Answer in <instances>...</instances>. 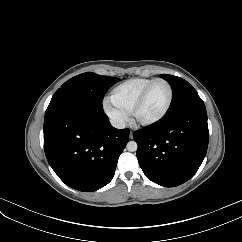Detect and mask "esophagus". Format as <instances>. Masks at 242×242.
Instances as JSON below:
<instances>
[{
    "mask_svg": "<svg viewBox=\"0 0 242 242\" xmlns=\"http://www.w3.org/2000/svg\"><path fill=\"white\" fill-rule=\"evenodd\" d=\"M129 137H130V139L133 138V132L132 131H130Z\"/></svg>",
    "mask_w": 242,
    "mask_h": 242,
    "instance_id": "34e87169",
    "label": "esophagus"
}]
</instances>
